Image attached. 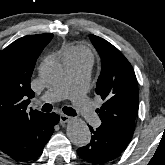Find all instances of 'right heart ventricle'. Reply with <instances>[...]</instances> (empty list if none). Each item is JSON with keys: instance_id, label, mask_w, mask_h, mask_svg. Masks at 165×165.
Listing matches in <instances>:
<instances>
[{"instance_id": "obj_1", "label": "right heart ventricle", "mask_w": 165, "mask_h": 165, "mask_svg": "<svg viewBox=\"0 0 165 165\" xmlns=\"http://www.w3.org/2000/svg\"><path fill=\"white\" fill-rule=\"evenodd\" d=\"M64 60L68 59H92L91 51L83 45H74L66 48L63 52Z\"/></svg>"}]
</instances>
